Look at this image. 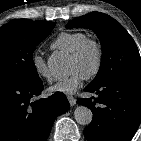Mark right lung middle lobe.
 <instances>
[{"label": "right lung middle lobe", "instance_id": "right-lung-middle-lobe-1", "mask_svg": "<svg viewBox=\"0 0 141 141\" xmlns=\"http://www.w3.org/2000/svg\"><path fill=\"white\" fill-rule=\"evenodd\" d=\"M54 26V22L17 19L0 28V81L40 79L32 54Z\"/></svg>", "mask_w": 141, "mask_h": 141}]
</instances>
